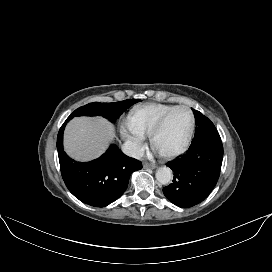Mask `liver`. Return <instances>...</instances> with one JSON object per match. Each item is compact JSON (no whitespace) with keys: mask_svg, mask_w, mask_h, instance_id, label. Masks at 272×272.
I'll return each instance as SVG.
<instances>
[{"mask_svg":"<svg viewBox=\"0 0 272 272\" xmlns=\"http://www.w3.org/2000/svg\"><path fill=\"white\" fill-rule=\"evenodd\" d=\"M116 137L114 126L102 117H77L66 126L64 148L77 161L99 157Z\"/></svg>","mask_w":272,"mask_h":272,"instance_id":"obj_1","label":"liver"}]
</instances>
